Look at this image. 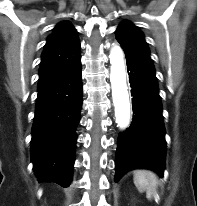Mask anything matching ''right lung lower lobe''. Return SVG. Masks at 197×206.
I'll list each match as a JSON object with an SVG mask.
<instances>
[{"label": "right lung lower lobe", "instance_id": "obj_1", "mask_svg": "<svg viewBox=\"0 0 197 206\" xmlns=\"http://www.w3.org/2000/svg\"><path fill=\"white\" fill-rule=\"evenodd\" d=\"M81 105L79 60L67 74L38 90L31 155L39 182L71 183Z\"/></svg>", "mask_w": 197, "mask_h": 206}]
</instances>
